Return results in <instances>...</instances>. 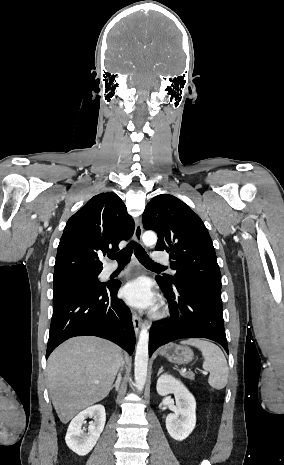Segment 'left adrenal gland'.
<instances>
[{
	"instance_id": "left-adrenal-gland-1",
	"label": "left adrenal gland",
	"mask_w": 284,
	"mask_h": 465,
	"mask_svg": "<svg viewBox=\"0 0 284 465\" xmlns=\"http://www.w3.org/2000/svg\"><path fill=\"white\" fill-rule=\"evenodd\" d=\"M162 371H163V367H161V369H159L158 375H160V373H162Z\"/></svg>"
}]
</instances>
